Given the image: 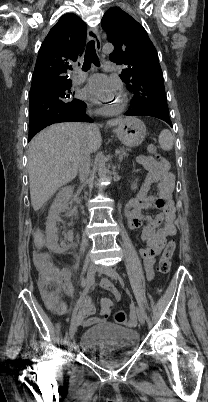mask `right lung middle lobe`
<instances>
[{
    "mask_svg": "<svg viewBox=\"0 0 208 402\" xmlns=\"http://www.w3.org/2000/svg\"><path fill=\"white\" fill-rule=\"evenodd\" d=\"M71 80L42 83L30 91V121L38 116L77 109L82 101L70 90Z\"/></svg>",
    "mask_w": 208,
    "mask_h": 402,
    "instance_id": "dd1d6c3e",
    "label": "right lung middle lobe"
}]
</instances>
